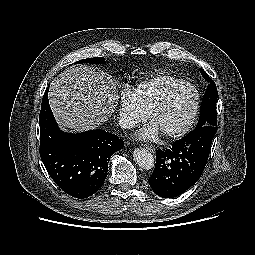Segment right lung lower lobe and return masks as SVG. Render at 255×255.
<instances>
[{
    "label": "right lung lower lobe",
    "instance_id": "right-lung-lower-lobe-1",
    "mask_svg": "<svg viewBox=\"0 0 255 255\" xmlns=\"http://www.w3.org/2000/svg\"><path fill=\"white\" fill-rule=\"evenodd\" d=\"M48 89L39 115L41 159L65 193L87 198L104 183L110 157L123 148L124 142L101 129L77 134L62 132L49 106Z\"/></svg>",
    "mask_w": 255,
    "mask_h": 255
}]
</instances>
